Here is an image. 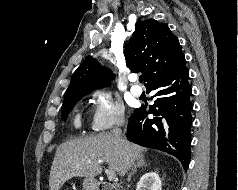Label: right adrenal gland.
Listing matches in <instances>:
<instances>
[{
    "mask_svg": "<svg viewBox=\"0 0 238 190\" xmlns=\"http://www.w3.org/2000/svg\"><path fill=\"white\" fill-rule=\"evenodd\" d=\"M148 164H146L144 158L137 159L136 163L134 164L131 172L128 174L127 182L129 183L131 181V177L136 174L137 168L139 167H146Z\"/></svg>",
    "mask_w": 238,
    "mask_h": 190,
    "instance_id": "1",
    "label": "right adrenal gland"
}]
</instances>
